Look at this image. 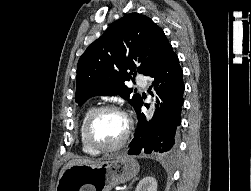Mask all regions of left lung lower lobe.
<instances>
[{
	"label": "left lung lower lobe",
	"mask_w": 251,
	"mask_h": 191,
	"mask_svg": "<svg viewBox=\"0 0 251 191\" xmlns=\"http://www.w3.org/2000/svg\"><path fill=\"white\" fill-rule=\"evenodd\" d=\"M182 74L178 57L171 48L164 54L150 75L155 78L154 89L159 95L152 121L147 123L144 114L141 113L143 100L135 109L138 126L129 145V155H139L140 153L171 155L174 153L175 136L181 122L183 106L184 83Z\"/></svg>",
	"instance_id": "1"
}]
</instances>
